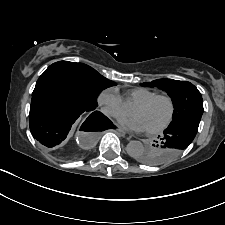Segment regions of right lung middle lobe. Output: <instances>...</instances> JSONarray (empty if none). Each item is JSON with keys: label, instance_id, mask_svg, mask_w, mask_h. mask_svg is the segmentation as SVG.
<instances>
[{"label": "right lung middle lobe", "instance_id": "obj_1", "mask_svg": "<svg viewBox=\"0 0 225 225\" xmlns=\"http://www.w3.org/2000/svg\"><path fill=\"white\" fill-rule=\"evenodd\" d=\"M56 76L74 86L89 103L97 107L99 93L116 83L99 74L92 67L69 61H59L50 65L42 76Z\"/></svg>", "mask_w": 225, "mask_h": 225}]
</instances>
